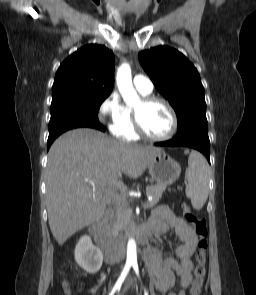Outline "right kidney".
Wrapping results in <instances>:
<instances>
[{
  "instance_id": "obj_1",
  "label": "right kidney",
  "mask_w": 256,
  "mask_h": 295,
  "mask_svg": "<svg viewBox=\"0 0 256 295\" xmlns=\"http://www.w3.org/2000/svg\"><path fill=\"white\" fill-rule=\"evenodd\" d=\"M75 261L87 273L98 272L103 263V254L92 244L90 236H82L75 247Z\"/></svg>"
}]
</instances>
